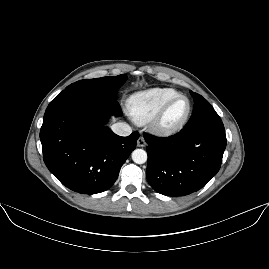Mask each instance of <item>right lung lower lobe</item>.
Here are the masks:
<instances>
[{
  "label": "right lung lower lobe",
  "mask_w": 269,
  "mask_h": 269,
  "mask_svg": "<svg viewBox=\"0 0 269 269\" xmlns=\"http://www.w3.org/2000/svg\"><path fill=\"white\" fill-rule=\"evenodd\" d=\"M113 114L122 115L115 98L81 91H62L48 105L40 130L43 159L69 189L107 190L136 148L138 132L120 137L104 125Z\"/></svg>",
  "instance_id": "98d812e1"
}]
</instances>
